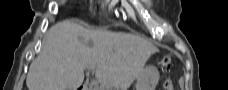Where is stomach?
<instances>
[{"label": "stomach", "instance_id": "stomach-1", "mask_svg": "<svg viewBox=\"0 0 228 90\" xmlns=\"http://www.w3.org/2000/svg\"><path fill=\"white\" fill-rule=\"evenodd\" d=\"M159 79V72L154 66L145 67L140 73L136 90H154Z\"/></svg>", "mask_w": 228, "mask_h": 90}]
</instances>
